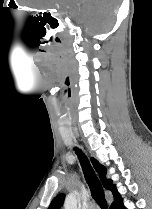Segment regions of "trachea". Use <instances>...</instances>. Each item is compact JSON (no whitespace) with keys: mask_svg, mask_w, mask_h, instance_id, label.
Returning a JSON list of instances; mask_svg holds the SVG:
<instances>
[{"mask_svg":"<svg viewBox=\"0 0 152 209\" xmlns=\"http://www.w3.org/2000/svg\"><path fill=\"white\" fill-rule=\"evenodd\" d=\"M80 160L85 179L90 187L93 199L98 203L101 209H107V202L105 200L104 191L98 178L95 176L87 157L81 152L76 150Z\"/></svg>","mask_w":152,"mask_h":209,"instance_id":"1","label":"trachea"}]
</instances>
